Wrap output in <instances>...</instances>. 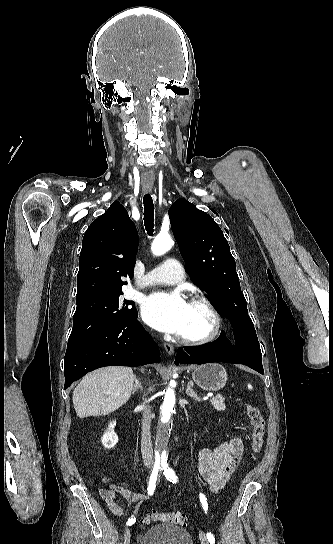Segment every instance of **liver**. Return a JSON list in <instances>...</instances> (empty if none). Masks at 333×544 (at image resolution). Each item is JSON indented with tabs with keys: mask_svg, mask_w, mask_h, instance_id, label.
<instances>
[{
	"mask_svg": "<svg viewBox=\"0 0 333 544\" xmlns=\"http://www.w3.org/2000/svg\"><path fill=\"white\" fill-rule=\"evenodd\" d=\"M133 383V370L128 367H104L87 374L73 391L77 416H104L114 412L129 400Z\"/></svg>",
	"mask_w": 333,
	"mask_h": 544,
	"instance_id": "6515ba94",
	"label": "liver"
}]
</instances>
